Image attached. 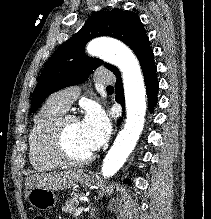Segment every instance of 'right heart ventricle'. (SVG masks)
Instances as JSON below:
<instances>
[{
  "mask_svg": "<svg viewBox=\"0 0 211 219\" xmlns=\"http://www.w3.org/2000/svg\"><path fill=\"white\" fill-rule=\"evenodd\" d=\"M65 112L66 108L49 100L33 118L28 137L29 160L37 171H52L66 165L53 154L49 143L53 124Z\"/></svg>",
  "mask_w": 211,
  "mask_h": 219,
  "instance_id": "1",
  "label": "right heart ventricle"
}]
</instances>
